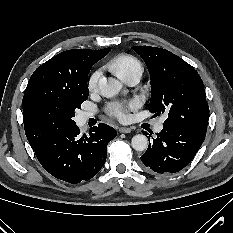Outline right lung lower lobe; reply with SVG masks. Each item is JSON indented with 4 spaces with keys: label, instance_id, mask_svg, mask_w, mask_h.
Returning <instances> with one entry per match:
<instances>
[{
    "label": "right lung lower lobe",
    "instance_id": "1",
    "mask_svg": "<svg viewBox=\"0 0 233 233\" xmlns=\"http://www.w3.org/2000/svg\"><path fill=\"white\" fill-rule=\"evenodd\" d=\"M116 135L114 128L101 123L91 128L89 136H81L75 125L53 135L34 152L51 175L69 183H79L101 170L107 157V145Z\"/></svg>",
    "mask_w": 233,
    "mask_h": 233
}]
</instances>
